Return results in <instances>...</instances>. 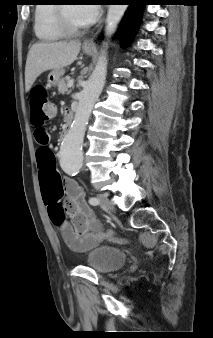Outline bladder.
<instances>
[{
    "label": "bladder",
    "instance_id": "1",
    "mask_svg": "<svg viewBox=\"0 0 213 338\" xmlns=\"http://www.w3.org/2000/svg\"><path fill=\"white\" fill-rule=\"evenodd\" d=\"M126 253L118 247L100 246L93 248L87 257V265L100 275L119 269L126 262Z\"/></svg>",
    "mask_w": 213,
    "mask_h": 338
}]
</instances>
